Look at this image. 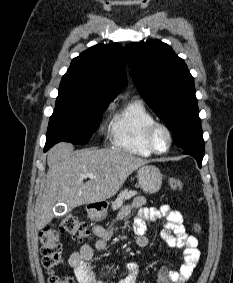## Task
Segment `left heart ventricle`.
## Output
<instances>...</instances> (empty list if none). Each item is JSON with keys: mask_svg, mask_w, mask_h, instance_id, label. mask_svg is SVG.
I'll return each instance as SVG.
<instances>
[{"mask_svg": "<svg viewBox=\"0 0 233 283\" xmlns=\"http://www.w3.org/2000/svg\"><path fill=\"white\" fill-rule=\"evenodd\" d=\"M154 144L157 149L164 150L168 145V137L163 130H158L154 135Z\"/></svg>", "mask_w": 233, "mask_h": 283, "instance_id": "1", "label": "left heart ventricle"}]
</instances>
